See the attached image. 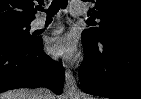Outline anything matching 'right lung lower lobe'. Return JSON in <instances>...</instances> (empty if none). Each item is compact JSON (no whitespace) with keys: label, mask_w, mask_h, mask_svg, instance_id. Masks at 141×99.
Listing matches in <instances>:
<instances>
[{"label":"right lung lower lobe","mask_w":141,"mask_h":99,"mask_svg":"<svg viewBox=\"0 0 141 99\" xmlns=\"http://www.w3.org/2000/svg\"><path fill=\"white\" fill-rule=\"evenodd\" d=\"M42 44L39 37L30 42L0 40V93L40 86L62 93L63 67L43 52Z\"/></svg>","instance_id":"98d812e1"}]
</instances>
